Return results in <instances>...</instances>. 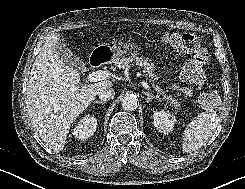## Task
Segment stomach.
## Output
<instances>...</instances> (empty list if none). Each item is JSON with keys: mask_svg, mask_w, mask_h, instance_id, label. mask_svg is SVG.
<instances>
[{"mask_svg": "<svg viewBox=\"0 0 245 189\" xmlns=\"http://www.w3.org/2000/svg\"><path fill=\"white\" fill-rule=\"evenodd\" d=\"M97 50L109 51L110 59L112 61H118L122 56L134 52V46L128 42L119 41L113 46H98Z\"/></svg>", "mask_w": 245, "mask_h": 189, "instance_id": "0dacf381", "label": "stomach"}]
</instances>
